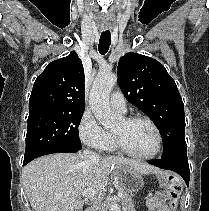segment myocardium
<instances>
[{"label": "myocardium", "instance_id": "f54148a6", "mask_svg": "<svg viewBox=\"0 0 209 211\" xmlns=\"http://www.w3.org/2000/svg\"><path fill=\"white\" fill-rule=\"evenodd\" d=\"M124 120L127 123H134V122L142 121V122L149 124L151 126V128L153 129L155 136H156V146H155L154 151L150 154L137 155V154L130 152L124 145L121 137L118 134L114 133L113 136H114L116 148L122 154H124L132 159L139 160V161H148V160H152L155 157H157L162 149V144H163L162 134H161L160 129L157 126V124L151 118L144 116V115H133V116L125 118Z\"/></svg>", "mask_w": 209, "mask_h": 211}]
</instances>
